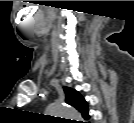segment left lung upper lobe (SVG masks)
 <instances>
[{
	"instance_id": "5c2ea615",
	"label": "left lung upper lobe",
	"mask_w": 134,
	"mask_h": 123,
	"mask_svg": "<svg viewBox=\"0 0 134 123\" xmlns=\"http://www.w3.org/2000/svg\"><path fill=\"white\" fill-rule=\"evenodd\" d=\"M65 101L67 104L79 110L85 119H88V108L84 98L74 89L64 87Z\"/></svg>"
}]
</instances>
